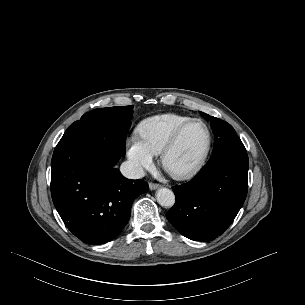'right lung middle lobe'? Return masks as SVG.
Returning a JSON list of instances; mask_svg holds the SVG:
<instances>
[{
	"label": "right lung middle lobe",
	"instance_id": "dd1d6c3e",
	"mask_svg": "<svg viewBox=\"0 0 305 305\" xmlns=\"http://www.w3.org/2000/svg\"><path fill=\"white\" fill-rule=\"evenodd\" d=\"M133 106L98 108L84 114L65 131L56 147L78 140L100 138L109 140L125 155V140L132 118Z\"/></svg>",
	"mask_w": 305,
	"mask_h": 305
}]
</instances>
